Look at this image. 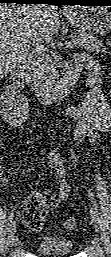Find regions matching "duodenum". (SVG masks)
Here are the masks:
<instances>
[{"instance_id": "410a0bca", "label": "duodenum", "mask_w": 111, "mask_h": 257, "mask_svg": "<svg viewBox=\"0 0 111 257\" xmlns=\"http://www.w3.org/2000/svg\"><path fill=\"white\" fill-rule=\"evenodd\" d=\"M71 83V80L69 79V80H66L65 82H62L61 84H59V85H57L56 87H55V89L57 90V91H61V92H63V91H65V90H67V87H68V85ZM40 95H43L42 93H40Z\"/></svg>"}]
</instances>
